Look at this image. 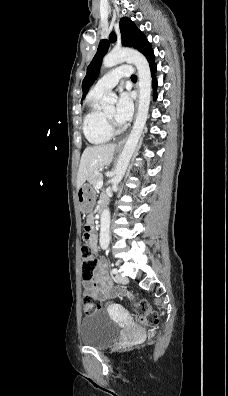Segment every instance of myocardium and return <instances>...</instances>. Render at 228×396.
Instances as JSON below:
<instances>
[{"label": "myocardium", "instance_id": "1", "mask_svg": "<svg viewBox=\"0 0 228 396\" xmlns=\"http://www.w3.org/2000/svg\"><path fill=\"white\" fill-rule=\"evenodd\" d=\"M104 116V121L107 127V130L109 131V133H111L112 135L115 134H120L122 132V128L119 127L118 125H116L114 123V121L112 119H110L105 113H103Z\"/></svg>", "mask_w": 228, "mask_h": 396}]
</instances>
